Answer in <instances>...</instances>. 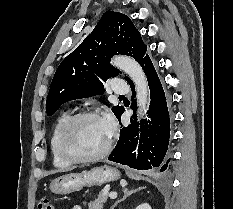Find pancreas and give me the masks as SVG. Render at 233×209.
Returning <instances> with one entry per match:
<instances>
[{
  "label": "pancreas",
  "mask_w": 233,
  "mask_h": 209,
  "mask_svg": "<svg viewBox=\"0 0 233 209\" xmlns=\"http://www.w3.org/2000/svg\"><path fill=\"white\" fill-rule=\"evenodd\" d=\"M107 198L108 194H99L94 201L88 203L89 209H102L103 204L107 201Z\"/></svg>",
  "instance_id": "pancreas-1"
}]
</instances>
